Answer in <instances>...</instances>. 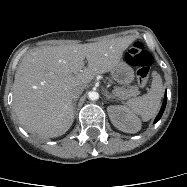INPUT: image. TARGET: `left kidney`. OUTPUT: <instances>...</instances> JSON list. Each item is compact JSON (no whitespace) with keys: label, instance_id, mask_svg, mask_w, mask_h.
Segmentation results:
<instances>
[{"label":"left kidney","instance_id":"5707ae66","mask_svg":"<svg viewBox=\"0 0 187 187\" xmlns=\"http://www.w3.org/2000/svg\"><path fill=\"white\" fill-rule=\"evenodd\" d=\"M112 124L122 132L136 133L141 128V122L125 106L114 105L107 108Z\"/></svg>","mask_w":187,"mask_h":187}]
</instances>
